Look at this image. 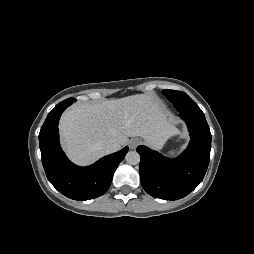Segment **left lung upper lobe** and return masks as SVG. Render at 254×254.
<instances>
[{
    "label": "left lung upper lobe",
    "mask_w": 254,
    "mask_h": 254,
    "mask_svg": "<svg viewBox=\"0 0 254 254\" xmlns=\"http://www.w3.org/2000/svg\"><path fill=\"white\" fill-rule=\"evenodd\" d=\"M162 93L173 103L174 107L180 113L187 111L203 113L198 105L184 92L163 90Z\"/></svg>",
    "instance_id": "left-lung-upper-lobe-1"
}]
</instances>
